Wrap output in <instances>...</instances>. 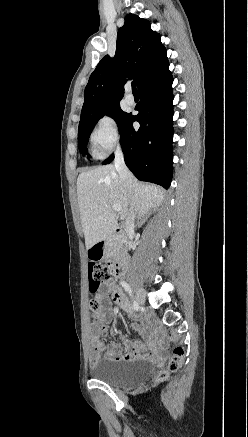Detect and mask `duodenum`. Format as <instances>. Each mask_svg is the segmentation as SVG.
<instances>
[{"instance_id":"410a0bca","label":"duodenum","mask_w":248,"mask_h":437,"mask_svg":"<svg viewBox=\"0 0 248 437\" xmlns=\"http://www.w3.org/2000/svg\"><path fill=\"white\" fill-rule=\"evenodd\" d=\"M113 234L115 236L123 238L125 235L124 227L122 225H117L114 230ZM107 245V240L103 239L98 242H96L93 245V248H88L87 255L88 257H101L104 254V250ZM128 264V257L124 253H120L116 256L115 262L112 265V272L115 276H120L125 267Z\"/></svg>"}]
</instances>
